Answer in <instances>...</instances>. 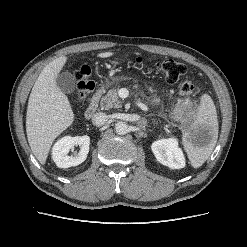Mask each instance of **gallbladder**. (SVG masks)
Listing matches in <instances>:
<instances>
[{"label": "gallbladder", "mask_w": 247, "mask_h": 247, "mask_svg": "<svg viewBox=\"0 0 247 247\" xmlns=\"http://www.w3.org/2000/svg\"><path fill=\"white\" fill-rule=\"evenodd\" d=\"M56 84L58 88L67 94L75 92V78L70 72H62L56 77Z\"/></svg>", "instance_id": "obj_1"}]
</instances>
